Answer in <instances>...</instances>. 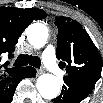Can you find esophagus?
<instances>
[{
    "label": "esophagus",
    "mask_w": 103,
    "mask_h": 103,
    "mask_svg": "<svg viewBox=\"0 0 103 103\" xmlns=\"http://www.w3.org/2000/svg\"><path fill=\"white\" fill-rule=\"evenodd\" d=\"M44 73V69H38L37 70V75H41V74H43Z\"/></svg>",
    "instance_id": "obj_1"
}]
</instances>
